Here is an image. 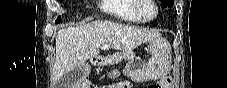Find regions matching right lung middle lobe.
<instances>
[{
  "instance_id": "right-lung-middle-lobe-1",
  "label": "right lung middle lobe",
  "mask_w": 227,
  "mask_h": 88,
  "mask_svg": "<svg viewBox=\"0 0 227 88\" xmlns=\"http://www.w3.org/2000/svg\"><path fill=\"white\" fill-rule=\"evenodd\" d=\"M61 21V17L59 16L56 20V23L60 22Z\"/></svg>"
}]
</instances>
